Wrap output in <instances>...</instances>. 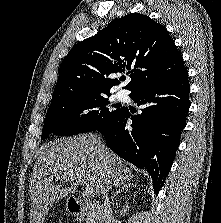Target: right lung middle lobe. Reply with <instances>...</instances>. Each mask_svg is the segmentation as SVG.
Masks as SVG:
<instances>
[{"mask_svg":"<svg viewBox=\"0 0 221 223\" xmlns=\"http://www.w3.org/2000/svg\"><path fill=\"white\" fill-rule=\"evenodd\" d=\"M106 95L111 94H81L51 102L41 138L45 139L50 133L71 136L102 127L123 109L119 105H109ZM89 108L95 109L80 117V113Z\"/></svg>","mask_w":221,"mask_h":223,"instance_id":"dd1d6c3e","label":"right lung middle lobe"}]
</instances>
